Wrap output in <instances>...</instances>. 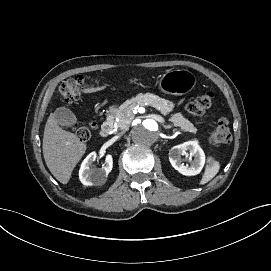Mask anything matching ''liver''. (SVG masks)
Instances as JSON below:
<instances>
[{
  "label": "liver",
  "instance_id": "liver-1",
  "mask_svg": "<svg viewBox=\"0 0 271 271\" xmlns=\"http://www.w3.org/2000/svg\"><path fill=\"white\" fill-rule=\"evenodd\" d=\"M90 87L83 89L84 93H93L106 88ZM43 156L47 167L53 176L62 184H67L71 173L86 151V144L78 137L60 128L50 114L44 129Z\"/></svg>",
  "mask_w": 271,
  "mask_h": 271
}]
</instances>
